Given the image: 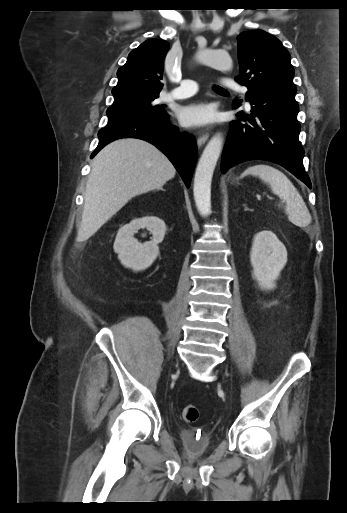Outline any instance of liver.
<instances>
[{
  "label": "liver",
  "instance_id": "liver-1",
  "mask_svg": "<svg viewBox=\"0 0 347 513\" xmlns=\"http://www.w3.org/2000/svg\"><path fill=\"white\" fill-rule=\"evenodd\" d=\"M175 172L168 158L144 140L122 138L105 146L93 159L77 239L90 238L133 197L162 189Z\"/></svg>",
  "mask_w": 347,
  "mask_h": 513
}]
</instances>
